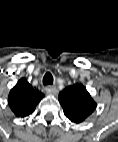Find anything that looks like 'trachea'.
Here are the masks:
<instances>
[{
	"instance_id": "3493384b",
	"label": "trachea",
	"mask_w": 118,
	"mask_h": 142,
	"mask_svg": "<svg viewBox=\"0 0 118 142\" xmlns=\"http://www.w3.org/2000/svg\"><path fill=\"white\" fill-rule=\"evenodd\" d=\"M53 84V76L50 72H47L43 77V85H52Z\"/></svg>"
}]
</instances>
